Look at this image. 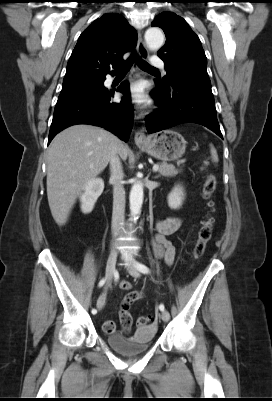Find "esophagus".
<instances>
[{"instance_id": "34e87169", "label": "esophagus", "mask_w": 272, "mask_h": 401, "mask_svg": "<svg viewBox=\"0 0 272 401\" xmlns=\"http://www.w3.org/2000/svg\"><path fill=\"white\" fill-rule=\"evenodd\" d=\"M137 53L140 58L147 59L149 56L148 50L145 46L142 33L139 31L138 32V40H137ZM134 69L137 70L136 65L134 66ZM134 118L136 121L140 120V114L138 112H135ZM134 141L137 145H142L147 142V137L144 132V130H138L135 132L134 135Z\"/></svg>"}]
</instances>
